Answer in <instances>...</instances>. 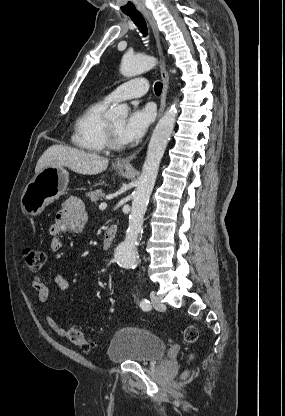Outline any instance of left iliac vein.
<instances>
[{
  "label": "left iliac vein",
  "instance_id": "left-iliac-vein-1",
  "mask_svg": "<svg viewBox=\"0 0 285 416\" xmlns=\"http://www.w3.org/2000/svg\"><path fill=\"white\" fill-rule=\"evenodd\" d=\"M151 301L152 305L156 310L162 311L165 309V305L161 302V300L154 295V293L151 294Z\"/></svg>",
  "mask_w": 285,
  "mask_h": 416
}]
</instances>
